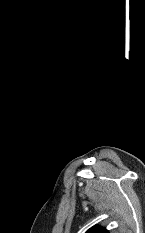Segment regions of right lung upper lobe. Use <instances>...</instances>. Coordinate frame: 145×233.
Wrapping results in <instances>:
<instances>
[{"instance_id": "cb5924a9", "label": "right lung upper lobe", "mask_w": 145, "mask_h": 233, "mask_svg": "<svg viewBox=\"0 0 145 233\" xmlns=\"http://www.w3.org/2000/svg\"><path fill=\"white\" fill-rule=\"evenodd\" d=\"M86 233H109V232L105 228L99 227L96 225V226L90 228Z\"/></svg>"}]
</instances>
